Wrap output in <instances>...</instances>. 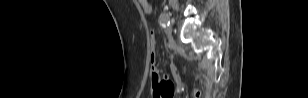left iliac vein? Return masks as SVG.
Masks as SVG:
<instances>
[{
	"instance_id": "1",
	"label": "left iliac vein",
	"mask_w": 308,
	"mask_h": 98,
	"mask_svg": "<svg viewBox=\"0 0 308 98\" xmlns=\"http://www.w3.org/2000/svg\"><path fill=\"white\" fill-rule=\"evenodd\" d=\"M165 33L167 34V35H171L172 34V26H167V27H165Z\"/></svg>"
}]
</instances>
